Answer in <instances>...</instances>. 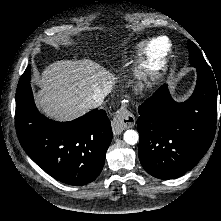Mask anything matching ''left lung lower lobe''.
Returning <instances> with one entry per match:
<instances>
[{
    "label": "left lung lower lobe",
    "mask_w": 221,
    "mask_h": 221,
    "mask_svg": "<svg viewBox=\"0 0 221 221\" xmlns=\"http://www.w3.org/2000/svg\"><path fill=\"white\" fill-rule=\"evenodd\" d=\"M219 95L221 103L213 72L197 68L196 88L187 101H173L164 84L138 108L139 160L146 172L177 178L199 162L215 136Z\"/></svg>",
    "instance_id": "1"
}]
</instances>
